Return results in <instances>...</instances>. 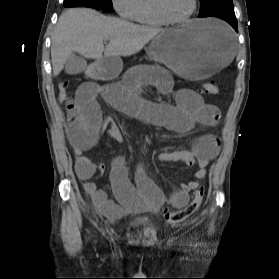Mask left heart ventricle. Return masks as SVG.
I'll return each instance as SVG.
<instances>
[{"instance_id":"b2bd125f","label":"left heart ventricle","mask_w":279,"mask_h":279,"mask_svg":"<svg viewBox=\"0 0 279 279\" xmlns=\"http://www.w3.org/2000/svg\"><path fill=\"white\" fill-rule=\"evenodd\" d=\"M168 13L174 18H180L189 13L193 0H164Z\"/></svg>"}]
</instances>
